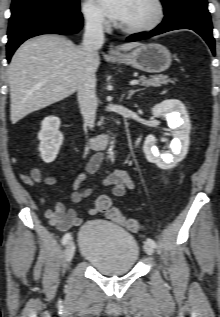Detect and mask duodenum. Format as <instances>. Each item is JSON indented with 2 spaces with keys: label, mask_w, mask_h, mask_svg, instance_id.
Returning a JSON list of instances; mask_svg holds the SVG:
<instances>
[{
  "label": "duodenum",
  "mask_w": 220,
  "mask_h": 317,
  "mask_svg": "<svg viewBox=\"0 0 220 317\" xmlns=\"http://www.w3.org/2000/svg\"><path fill=\"white\" fill-rule=\"evenodd\" d=\"M112 136V131H107L91 137L88 141V145L95 149L105 148Z\"/></svg>",
  "instance_id": "obj_1"
}]
</instances>
